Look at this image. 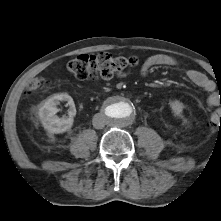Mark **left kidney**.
<instances>
[{
	"mask_svg": "<svg viewBox=\"0 0 221 221\" xmlns=\"http://www.w3.org/2000/svg\"><path fill=\"white\" fill-rule=\"evenodd\" d=\"M170 108L172 109V112L174 113L175 116L183 117L182 116L183 104L180 101L175 100L170 102Z\"/></svg>",
	"mask_w": 221,
	"mask_h": 221,
	"instance_id": "1",
	"label": "left kidney"
}]
</instances>
